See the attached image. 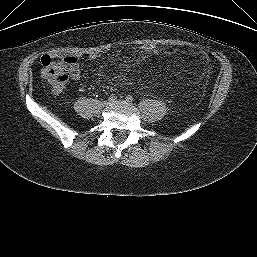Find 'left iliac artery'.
<instances>
[{
	"label": "left iliac artery",
	"mask_w": 257,
	"mask_h": 257,
	"mask_svg": "<svg viewBox=\"0 0 257 257\" xmlns=\"http://www.w3.org/2000/svg\"><path fill=\"white\" fill-rule=\"evenodd\" d=\"M126 100H127L128 102H132V101H133V97H132L131 95H127V96H126Z\"/></svg>",
	"instance_id": "obj_1"
}]
</instances>
